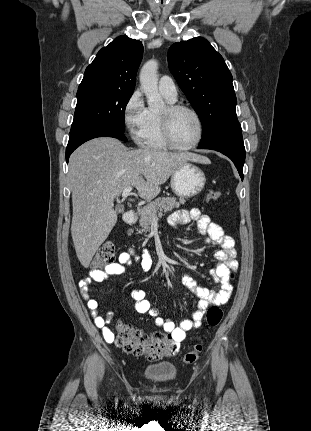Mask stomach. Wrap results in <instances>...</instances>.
Masks as SVG:
<instances>
[{"mask_svg": "<svg viewBox=\"0 0 311 431\" xmlns=\"http://www.w3.org/2000/svg\"><path fill=\"white\" fill-rule=\"evenodd\" d=\"M206 176L198 166L194 164H183L173 172L170 186L173 194L178 198H193L204 190Z\"/></svg>", "mask_w": 311, "mask_h": 431, "instance_id": "0dacf381", "label": "stomach"}]
</instances>
